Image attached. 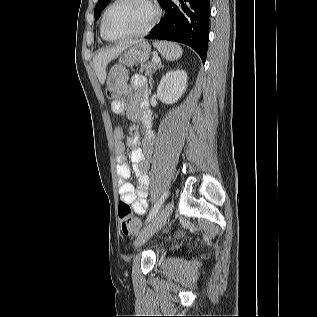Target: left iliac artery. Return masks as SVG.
<instances>
[{"label": "left iliac artery", "instance_id": "1", "mask_svg": "<svg viewBox=\"0 0 317 317\" xmlns=\"http://www.w3.org/2000/svg\"><path fill=\"white\" fill-rule=\"evenodd\" d=\"M169 193L168 192H164L163 195L160 197V199L155 203V205L153 206V208L151 209L147 219H146V224L148 222H150V220L152 218H154V216H156V214L158 213L161 205L163 204V202L165 201V199L168 197Z\"/></svg>", "mask_w": 317, "mask_h": 317}]
</instances>
